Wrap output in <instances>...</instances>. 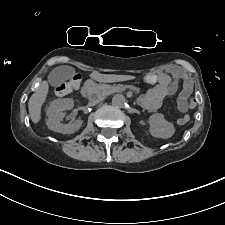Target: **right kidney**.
Returning a JSON list of instances; mask_svg holds the SVG:
<instances>
[{"label":"right kidney","mask_w":225,"mask_h":225,"mask_svg":"<svg viewBox=\"0 0 225 225\" xmlns=\"http://www.w3.org/2000/svg\"><path fill=\"white\" fill-rule=\"evenodd\" d=\"M74 106V102L70 98L57 99L51 102L47 109V126L50 130L62 133V134H72L80 129L82 126L81 120H76L69 124L61 123L65 110H70Z\"/></svg>","instance_id":"ca27d5eb"}]
</instances>
